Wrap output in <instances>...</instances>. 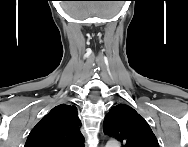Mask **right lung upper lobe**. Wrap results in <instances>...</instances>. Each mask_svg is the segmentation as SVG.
<instances>
[{
  "mask_svg": "<svg viewBox=\"0 0 188 147\" xmlns=\"http://www.w3.org/2000/svg\"><path fill=\"white\" fill-rule=\"evenodd\" d=\"M80 126L77 108L60 104L36 124L25 147H84Z\"/></svg>",
  "mask_w": 188,
  "mask_h": 147,
  "instance_id": "obj_1",
  "label": "right lung upper lobe"
}]
</instances>
